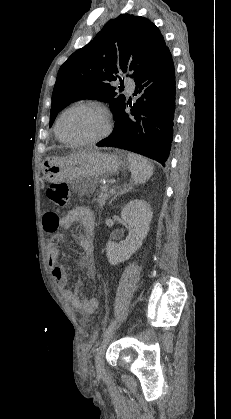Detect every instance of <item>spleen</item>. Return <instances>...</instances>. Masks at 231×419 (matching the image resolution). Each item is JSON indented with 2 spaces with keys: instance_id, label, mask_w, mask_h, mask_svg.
I'll use <instances>...</instances> for the list:
<instances>
[{
  "instance_id": "spleen-1",
  "label": "spleen",
  "mask_w": 231,
  "mask_h": 419,
  "mask_svg": "<svg viewBox=\"0 0 231 419\" xmlns=\"http://www.w3.org/2000/svg\"><path fill=\"white\" fill-rule=\"evenodd\" d=\"M127 158L135 184H143L153 175L154 166L147 158L134 153H128Z\"/></svg>"
}]
</instances>
